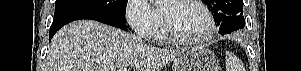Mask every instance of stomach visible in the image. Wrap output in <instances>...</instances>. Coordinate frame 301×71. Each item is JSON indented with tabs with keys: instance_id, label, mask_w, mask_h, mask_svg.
Masks as SVG:
<instances>
[{
	"instance_id": "1",
	"label": "stomach",
	"mask_w": 301,
	"mask_h": 71,
	"mask_svg": "<svg viewBox=\"0 0 301 71\" xmlns=\"http://www.w3.org/2000/svg\"><path fill=\"white\" fill-rule=\"evenodd\" d=\"M173 71H219L215 54L205 47H197L174 60Z\"/></svg>"
}]
</instances>
